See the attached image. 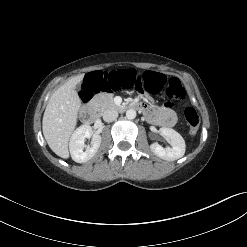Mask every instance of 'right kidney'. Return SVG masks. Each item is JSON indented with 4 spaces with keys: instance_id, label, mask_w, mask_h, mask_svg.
Wrapping results in <instances>:
<instances>
[{
    "instance_id": "ca27d5eb",
    "label": "right kidney",
    "mask_w": 247,
    "mask_h": 247,
    "mask_svg": "<svg viewBox=\"0 0 247 247\" xmlns=\"http://www.w3.org/2000/svg\"><path fill=\"white\" fill-rule=\"evenodd\" d=\"M91 135L92 128L90 125H82L72 134L69 148L71 157L75 162L85 163L96 154L101 144V136H94L92 146L86 148L85 138H88ZM85 148L86 150L84 151Z\"/></svg>"
}]
</instances>
